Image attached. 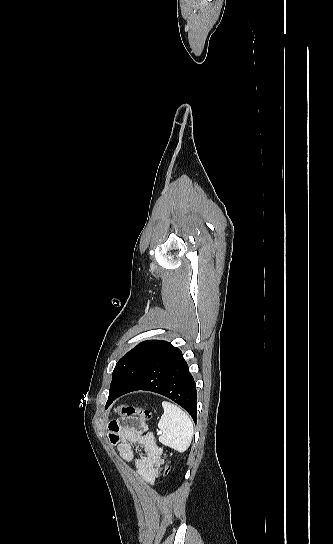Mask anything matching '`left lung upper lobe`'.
Segmentation results:
<instances>
[{"instance_id":"1","label":"left lung upper lobe","mask_w":333,"mask_h":544,"mask_svg":"<svg viewBox=\"0 0 333 544\" xmlns=\"http://www.w3.org/2000/svg\"><path fill=\"white\" fill-rule=\"evenodd\" d=\"M167 343V341L163 340H147L127 352L114 368L110 392L121 390L138 373L142 366Z\"/></svg>"}]
</instances>
